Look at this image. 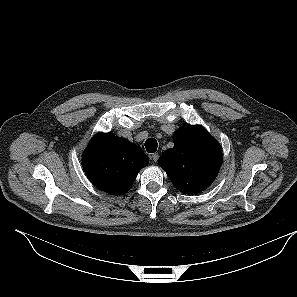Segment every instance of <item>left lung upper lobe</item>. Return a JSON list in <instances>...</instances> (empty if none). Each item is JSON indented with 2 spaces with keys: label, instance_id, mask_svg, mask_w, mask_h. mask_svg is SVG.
Wrapping results in <instances>:
<instances>
[{
  "label": "left lung upper lobe",
  "instance_id": "obj_1",
  "mask_svg": "<svg viewBox=\"0 0 297 297\" xmlns=\"http://www.w3.org/2000/svg\"><path fill=\"white\" fill-rule=\"evenodd\" d=\"M174 147L159 159L174 186L185 194L205 190L222 163L219 143L202 126L185 125L173 135Z\"/></svg>",
  "mask_w": 297,
  "mask_h": 297
}]
</instances>
